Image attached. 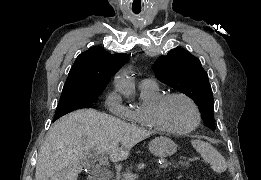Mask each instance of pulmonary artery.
I'll return each instance as SVG.
<instances>
[{
    "label": "pulmonary artery",
    "instance_id": "pulmonary-artery-1",
    "mask_svg": "<svg viewBox=\"0 0 261 180\" xmlns=\"http://www.w3.org/2000/svg\"><path fill=\"white\" fill-rule=\"evenodd\" d=\"M140 87H153L156 86V82L150 78H142L139 82Z\"/></svg>",
    "mask_w": 261,
    "mask_h": 180
}]
</instances>
